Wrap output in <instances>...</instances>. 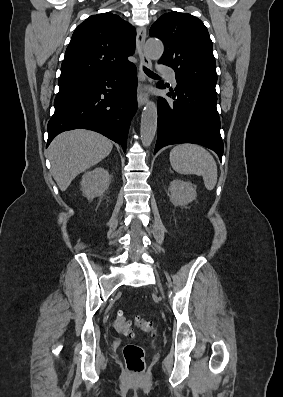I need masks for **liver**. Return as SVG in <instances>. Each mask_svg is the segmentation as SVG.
<instances>
[{"label":"liver","mask_w":283,"mask_h":397,"mask_svg":"<svg viewBox=\"0 0 283 397\" xmlns=\"http://www.w3.org/2000/svg\"><path fill=\"white\" fill-rule=\"evenodd\" d=\"M112 142L99 133L77 129L59 134L49 146L52 175L65 191L80 173L106 158Z\"/></svg>","instance_id":"liver-1"}]
</instances>
